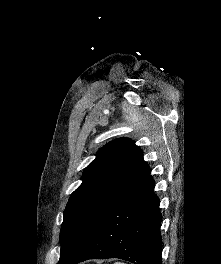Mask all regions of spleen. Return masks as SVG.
Masks as SVG:
<instances>
[{
    "label": "spleen",
    "instance_id": "3e777b00",
    "mask_svg": "<svg viewBox=\"0 0 221 264\" xmlns=\"http://www.w3.org/2000/svg\"><path fill=\"white\" fill-rule=\"evenodd\" d=\"M114 264H125V263H122V262H115Z\"/></svg>",
    "mask_w": 221,
    "mask_h": 264
}]
</instances>
